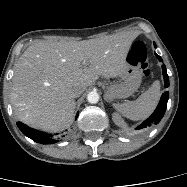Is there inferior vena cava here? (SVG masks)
Here are the masks:
<instances>
[{"label": "inferior vena cava", "mask_w": 187, "mask_h": 187, "mask_svg": "<svg viewBox=\"0 0 187 187\" xmlns=\"http://www.w3.org/2000/svg\"><path fill=\"white\" fill-rule=\"evenodd\" d=\"M82 94V90L80 88H75L71 91V96L73 98L79 97Z\"/></svg>", "instance_id": "1"}]
</instances>
